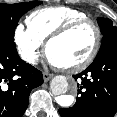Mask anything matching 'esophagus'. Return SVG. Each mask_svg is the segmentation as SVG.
<instances>
[{
  "instance_id": "34e87169",
  "label": "esophagus",
  "mask_w": 117,
  "mask_h": 117,
  "mask_svg": "<svg viewBox=\"0 0 117 117\" xmlns=\"http://www.w3.org/2000/svg\"><path fill=\"white\" fill-rule=\"evenodd\" d=\"M52 76L53 75L50 74V73H47V72L43 73V79H44L45 82L49 81L52 78Z\"/></svg>"
}]
</instances>
